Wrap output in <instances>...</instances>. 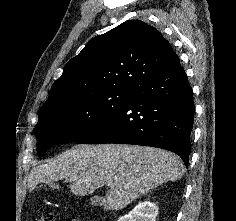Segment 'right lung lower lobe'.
<instances>
[{"mask_svg": "<svg viewBox=\"0 0 236 221\" xmlns=\"http://www.w3.org/2000/svg\"><path fill=\"white\" fill-rule=\"evenodd\" d=\"M194 112L192 88L177 59L166 70L137 86L126 103L77 143L163 148L179 155L187 167Z\"/></svg>", "mask_w": 236, "mask_h": 221, "instance_id": "98d812e1", "label": "right lung lower lobe"}]
</instances>
